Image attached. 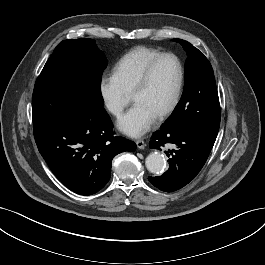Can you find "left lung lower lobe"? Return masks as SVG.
Instances as JSON below:
<instances>
[{"label": "left lung lower lobe", "instance_id": "0a47b994", "mask_svg": "<svg viewBox=\"0 0 265 265\" xmlns=\"http://www.w3.org/2000/svg\"><path fill=\"white\" fill-rule=\"evenodd\" d=\"M165 144H173L169 169L161 176L148 177L158 189L173 192L193 180L204 166L213 145L200 135L183 129H160L152 135L149 143L151 149H160ZM165 153L168 155L167 151Z\"/></svg>", "mask_w": 265, "mask_h": 265}]
</instances>
